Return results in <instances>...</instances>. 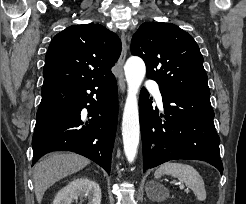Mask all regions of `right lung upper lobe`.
I'll use <instances>...</instances> for the list:
<instances>
[{
    "instance_id": "cb5924a9",
    "label": "right lung upper lobe",
    "mask_w": 246,
    "mask_h": 204,
    "mask_svg": "<svg viewBox=\"0 0 246 204\" xmlns=\"http://www.w3.org/2000/svg\"><path fill=\"white\" fill-rule=\"evenodd\" d=\"M121 46L118 36L99 24L66 28L49 45L42 89L112 76Z\"/></svg>"
}]
</instances>
